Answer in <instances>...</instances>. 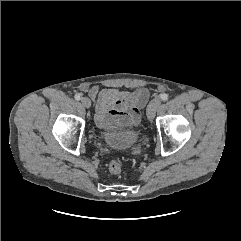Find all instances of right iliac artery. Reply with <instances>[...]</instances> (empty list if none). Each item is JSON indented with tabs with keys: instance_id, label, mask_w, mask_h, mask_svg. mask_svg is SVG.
<instances>
[{
	"instance_id": "1",
	"label": "right iliac artery",
	"mask_w": 241,
	"mask_h": 241,
	"mask_svg": "<svg viewBox=\"0 0 241 241\" xmlns=\"http://www.w3.org/2000/svg\"><path fill=\"white\" fill-rule=\"evenodd\" d=\"M75 99H76L77 101H79V100L81 99V95H80V94H76V95H75Z\"/></svg>"
}]
</instances>
